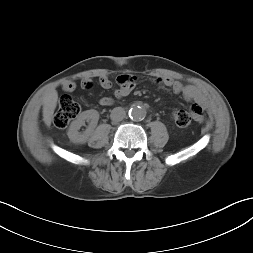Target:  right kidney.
Returning a JSON list of instances; mask_svg holds the SVG:
<instances>
[{"label": "right kidney", "instance_id": "1", "mask_svg": "<svg viewBox=\"0 0 253 253\" xmlns=\"http://www.w3.org/2000/svg\"><path fill=\"white\" fill-rule=\"evenodd\" d=\"M99 120V113L94 110H87L82 112L79 117L74 120L68 129L67 135L72 143L84 144L88 141L94 128L97 126ZM85 121L90 122L89 127L82 133L79 129L85 125Z\"/></svg>", "mask_w": 253, "mask_h": 253}]
</instances>
